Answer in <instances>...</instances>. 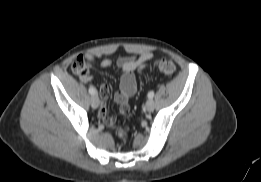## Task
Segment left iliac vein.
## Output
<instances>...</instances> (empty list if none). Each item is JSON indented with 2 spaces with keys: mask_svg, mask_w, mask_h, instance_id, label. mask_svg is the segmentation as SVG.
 I'll list each match as a JSON object with an SVG mask.
<instances>
[{
  "mask_svg": "<svg viewBox=\"0 0 261 182\" xmlns=\"http://www.w3.org/2000/svg\"><path fill=\"white\" fill-rule=\"evenodd\" d=\"M145 109L148 112H151L154 110V101L152 99L147 100L146 104H145Z\"/></svg>",
  "mask_w": 261,
  "mask_h": 182,
  "instance_id": "obj_1",
  "label": "left iliac vein"
}]
</instances>
